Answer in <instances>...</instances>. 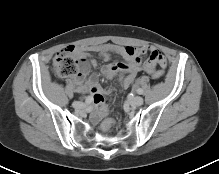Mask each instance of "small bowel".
Returning a JSON list of instances; mask_svg holds the SVG:
<instances>
[{"label": "small bowel", "mask_w": 219, "mask_h": 174, "mask_svg": "<svg viewBox=\"0 0 219 174\" xmlns=\"http://www.w3.org/2000/svg\"><path fill=\"white\" fill-rule=\"evenodd\" d=\"M103 60H109L112 54L121 56L125 61H114L105 65L101 72L106 78H113L117 75L122 76V81L117 83L119 90L128 88L136 78L142 68L149 74L154 68H165V55L158 50L150 47L135 46H119L115 44H103L91 48ZM73 52L80 60V68L77 75L71 78V83L76 89L83 93H89L94 103L92 108V119L97 122L107 113V107L114 105L112 98H104L105 93H109L110 89H102L98 84V76L96 74L89 75L90 67H96L97 62L90 59L87 50L84 48H75ZM148 53V54H147ZM147 54V63L141 66V56Z\"/></svg>", "instance_id": "obj_1"}]
</instances>
